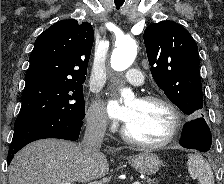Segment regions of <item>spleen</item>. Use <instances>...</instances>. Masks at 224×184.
Instances as JSON below:
<instances>
[{
  "label": "spleen",
  "mask_w": 224,
  "mask_h": 184,
  "mask_svg": "<svg viewBox=\"0 0 224 184\" xmlns=\"http://www.w3.org/2000/svg\"><path fill=\"white\" fill-rule=\"evenodd\" d=\"M188 172L200 184H214V175L209 163L199 154L188 155Z\"/></svg>",
  "instance_id": "obj_1"
}]
</instances>
